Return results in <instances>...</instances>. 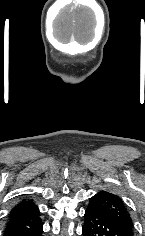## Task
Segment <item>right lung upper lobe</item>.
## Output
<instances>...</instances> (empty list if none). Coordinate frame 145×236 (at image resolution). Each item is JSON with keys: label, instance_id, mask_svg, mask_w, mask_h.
<instances>
[{"label": "right lung upper lobe", "instance_id": "cb5924a9", "mask_svg": "<svg viewBox=\"0 0 145 236\" xmlns=\"http://www.w3.org/2000/svg\"><path fill=\"white\" fill-rule=\"evenodd\" d=\"M36 207L34 205V202L31 201V200H23L22 202L18 203L11 211L10 215L12 214H15L17 212H20V211H23V210H26V209H31V208H34Z\"/></svg>", "mask_w": 145, "mask_h": 236}]
</instances>
